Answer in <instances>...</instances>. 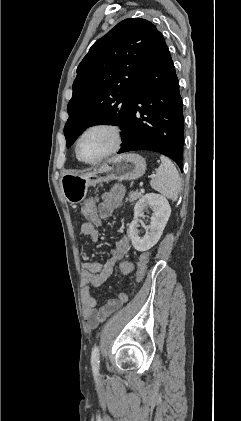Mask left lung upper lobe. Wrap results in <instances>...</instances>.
<instances>
[{"label":"left lung upper lobe","mask_w":241,"mask_h":421,"mask_svg":"<svg viewBox=\"0 0 241 421\" xmlns=\"http://www.w3.org/2000/svg\"><path fill=\"white\" fill-rule=\"evenodd\" d=\"M159 34L151 22L128 18L92 45L77 68L67 106V147L96 124L118 125L125 135L137 82Z\"/></svg>","instance_id":"obj_1"}]
</instances>
